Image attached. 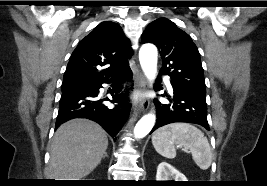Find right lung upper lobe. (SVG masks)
<instances>
[{
  "label": "right lung upper lobe",
  "mask_w": 267,
  "mask_h": 186,
  "mask_svg": "<svg viewBox=\"0 0 267 186\" xmlns=\"http://www.w3.org/2000/svg\"><path fill=\"white\" fill-rule=\"evenodd\" d=\"M132 55L130 41L119 24L102 22L73 51L62 86L111 77L128 65L127 58ZM107 64L108 68L99 70Z\"/></svg>",
  "instance_id": "obj_1"
}]
</instances>
